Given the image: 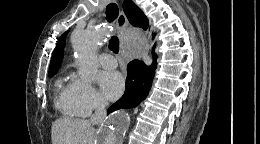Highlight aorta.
<instances>
[{
  "label": "aorta",
  "mask_w": 260,
  "mask_h": 144,
  "mask_svg": "<svg viewBox=\"0 0 260 144\" xmlns=\"http://www.w3.org/2000/svg\"><path fill=\"white\" fill-rule=\"evenodd\" d=\"M106 39L105 28L75 31L72 35L73 48L77 54L79 76L85 82L94 81L98 71L97 48ZM128 125L127 117L116 114L105 127L103 144H121Z\"/></svg>",
  "instance_id": "aorta-1"
}]
</instances>
